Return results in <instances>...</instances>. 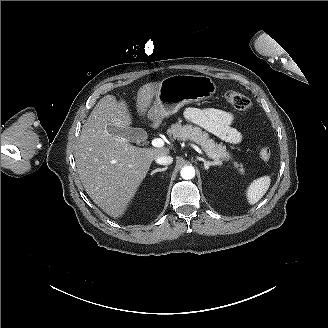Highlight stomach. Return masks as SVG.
<instances>
[{
    "label": "stomach",
    "mask_w": 328,
    "mask_h": 328,
    "mask_svg": "<svg viewBox=\"0 0 328 328\" xmlns=\"http://www.w3.org/2000/svg\"><path fill=\"white\" fill-rule=\"evenodd\" d=\"M216 85L208 76L178 74L158 83L155 101L148 111L152 127L157 128L164 118L175 114L184 105L210 98Z\"/></svg>",
    "instance_id": "0dacf381"
}]
</instances>
